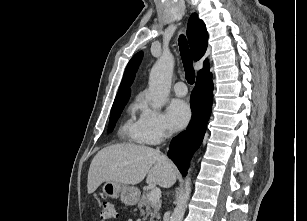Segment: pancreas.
<instances>
[{
	"mask_svg": "<svg viewBox=\"0 0 307 221\" xmlns=\"http://www.w3.org/2000/svg\"><path fill=\"white\" fill-rule=\"evenodd\" d=\"M161 204L158 202H151L149 200V192H144L142 198L139 200L138 208L142 216H150V221H158L160 219ZM145 208V209H144Z\"/></svg>",
	"mask_w": 307,
	"mask_h": 221,
	"instance_id": "pancreas-1",
	"label": "pancreas"
}]
</instances>
